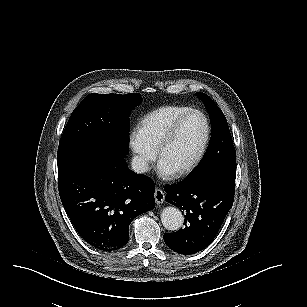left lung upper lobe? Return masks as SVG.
<instances>
[{"label": "left lung upper lobe", "mask_w": 307, "mask_h": 307, "mask_svg": "<svg viewBox=\"0 0 307 307\" xmlns=\"http://www.w3.org/2000/svg\"><path fill=\"white\" fill-rule=\"evenodd\" d=\"M196 95L204 102L211 122L210 143L200 165L186 179H194L212 173L236 177V153L226 118L220 108L205 93Z\"/></svg>", "instance_id": "1"}]
</instances>
